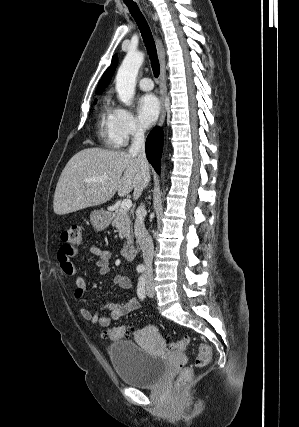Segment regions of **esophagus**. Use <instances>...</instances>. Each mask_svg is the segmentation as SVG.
Instances as JSON below:
<instances>
[{
    "label": "esophagus",
    "instance_id": "34e87169",
    "mask_svg": "<svg viewBox=\"0 0 299 427\" xmlns=\"http://www.w3.org/2000/svg\"><path fill=\"white\" fill-rule=\"evenodd\" d=\"M148 13V12H147ZM148 16L151 18L152 22H156L158 20V16L156 14L148 13ZM156 32L155 24H153ZM156 46L158 52V58L160 63V79H159V93H160V101H161V112L158 121V126H162L166 117V108H165V96H166V68H165V49L162 44V41L158 36H156Z\"/></svg>",
    "mask_w": 299,
    "mask_h": 427
}]
</instances>
